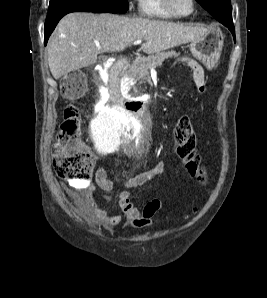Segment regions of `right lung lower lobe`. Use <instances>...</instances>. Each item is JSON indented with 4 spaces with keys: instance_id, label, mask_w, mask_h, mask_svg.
Returning a JSON list of instances; mask_svg holds the SVG:
<instances>
[{
    "instance_id": "right-lung-lower-lobe-1",
    "label": "right lung lower lobe",
    "mask_w": 267,
    "mask_h": 298,
    "mask_svg": "<svg viewBox=\"0 0 267 298\" xmlns=\"http://www.w3.org/2000/svg\"><path fill=\"white\" fill-rule=\"evenodd\" d=\"M75 11H85V12H92V11H89V10H72V11H68V12H65L59 16H57L56 18H54L53 20H51L50 22H46L45 23V29H44V43L46 45L47 41H48V38L50 36V34L52 33V31L54 30V28L56 27L57 23L59 22V20L64 16L66 15L67 13H70V12H75ZM96 13V12H95Z\"/></svg>"
}]
</instances>
